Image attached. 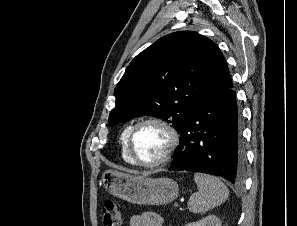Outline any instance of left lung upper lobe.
I'll return each mask as SVG.
<instances>
[{
  "mask_svg": "<svg viewBox=\"0 0 297 226\" xmlns=\"http://www.w3.org/2000/svg\"><path fill=\"white\" fill-rule=\"evenodd\" d=\"M217 45L192 31L166 35L137 55L117 84L115 126L141 115L161 118L179 132L200 98L210 90L232 87Z\"/></svg>",
  "mask_w": 297,
  "mask_h": 226,
  "instance_id": "1",
  "label": "left lung upper lobe"
}]
</instances>
